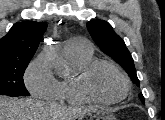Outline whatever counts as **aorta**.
Segmentation results:
<instances>
[{"instance_id": "1", "label": "aorta", "mask_w": 165, "mask_h": 120, "mask_svg": "<svg viewBox=\"0 0 165 120\" xmlns=\"http://www.w3.org/2000/svg\"><path fill=\"white\" fill-rule=\"evenodd\" d=\"M44 55L47 60H49L54 67L61 68L62 62L58 56L57 47L56 45L50 44L44 50Z\"/></svg>"}]
</instances>
